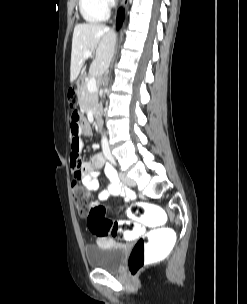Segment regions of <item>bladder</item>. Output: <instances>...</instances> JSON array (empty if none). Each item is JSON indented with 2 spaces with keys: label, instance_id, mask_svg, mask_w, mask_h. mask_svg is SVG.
Listing matches in <instances>:
<instances>
[{
  "label": "bladder",
  "instance_id": "31cf9c89",
  "mask_svg": "<svg viewBox=\"0 0 247 304\" xmlns=\"http://www.w3.org/2000/svg\"><path fill=\"white\" fill-rule=\"evenodd\" d=\"M126 255V246L107 242L89 245L85 248L87 264L91 269L118 271Z\"/></svg>",
  "mask_w": 247,
  "mask_h": 304
}]
</instances>
